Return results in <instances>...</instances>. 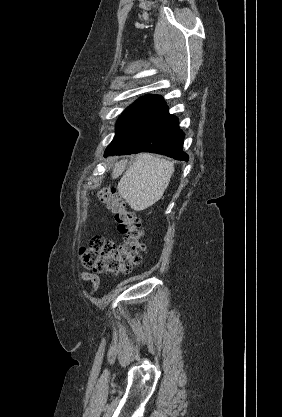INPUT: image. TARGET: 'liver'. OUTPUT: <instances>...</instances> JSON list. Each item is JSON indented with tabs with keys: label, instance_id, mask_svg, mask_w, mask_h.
<instances>
[{
	"label": "liver",
	"instance_id": "1",
	"mask_svg": "<svg viewBox=\"0 0 282 417\" xmlns=\"http://www.w3.org/2000/svg\"><path fill=\"white\" fill-rule=\"evenodd\" d=\"M128 160H119L113 166L112 178H117L126 168ZM174 172V164L150 152H140L118 182V192L131 209L144 211L157 202Z\"/></svg>",
	"mask_w": 282,
	"mask_h": 417
}]
</instances>
